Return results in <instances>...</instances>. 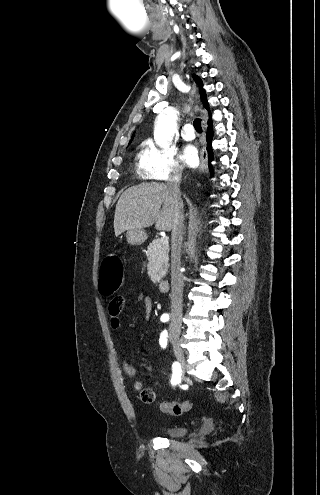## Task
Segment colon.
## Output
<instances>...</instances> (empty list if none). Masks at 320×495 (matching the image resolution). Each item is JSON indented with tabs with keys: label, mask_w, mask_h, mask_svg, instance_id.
Here are the masks:
<instances>
[{
	"label": "colon",
	"mask_w": 320,
	"mask_h": 495,
	"mask_svg": "<svg viewBox=\"0 0 320 495\" xmlns=\"http://www.w3.org/2000/svg\"><path fill=\"white\" fill-rule=\"evenodd\" d=\"M123 280L124 269L119 256L106 255L99 269V289L105 294L113 293L121 286ZM155 397V392L150 388H145L140 392V400L145 404L153 403ZM191 408L190 402L164 401L160 404L162 412L173 416H181L189 412Z\"/></svg>",
	"instance_id": "obj_1"
}]
</instances>
